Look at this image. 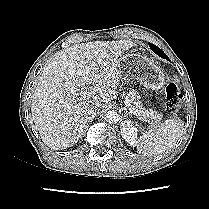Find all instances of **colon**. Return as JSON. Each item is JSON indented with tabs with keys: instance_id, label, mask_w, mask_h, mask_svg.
<instances>
[{
	"instance_id": "5ec220e1",
	"label": "colon",
	"mask_w": 209,
	"mask_h": 209,
	"mask_svg": "<svg viewBox=\"0 0 209 209\" xmlns=\"http://www.w3.org/2000/svg\"><path fill=\"white\" fill-rule=\"evenodd\" d=\"M164 107L168 113H175L182 102V93L174 82L167 84L164 92Z\"/></svg>"
}]
</instances>
